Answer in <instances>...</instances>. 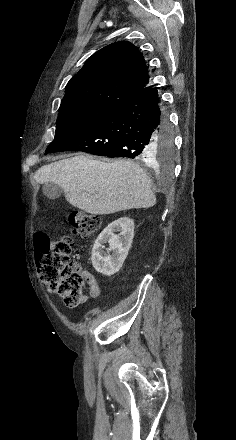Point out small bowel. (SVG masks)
Instances as JSON below:
<instances>
[{
  "instance_id": "1",
  "label": "small bowel",
  "mask_w": 236,
  "mask_h": 440,
  "mask_svg": "<svg viewBox=\"0 0 236 440\" xmlns=\"http://www.w3.org/2000/svg\"><path fill=\"white\" fill-rule=\"evenodd\" d=\"M78 267L81 269L85 281L89 286V297L92 299L99 297L101 290L96 278L89 271L83 270L80 265H78Z\"/></svg>"
}]
</instances>
